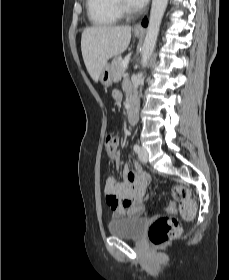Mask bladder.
<instances>
[{
  "mask_svg": "<svg viewBox=\"0 0 229 280\" xmlns=\"http://www.w3.org/2000/svg\"><path fill=\"white\" fill-rule=\"evenodd\" d=\"M146 218L131 217L112 220L108 229L112 236L124 239H139L145 230Z\"/></svg>",
  "mask_w": 229,
  "mask_h": 280,
  "instance_id": "1",
  "label": "bladder"
}]
</instances>
